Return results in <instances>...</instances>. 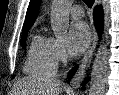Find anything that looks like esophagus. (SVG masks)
<instances>
[{
  "label": "esophagus",
  "mask_w": 119,
  "mask_h": 95,
  "mask_svg": "<svg viewBox=\"0 0 119 95\" xmlns=\"http://www.w3.org/2000/svg\"><path fill=\"white\" fill-rule=\"evenodd\" d=\"M99 0H95V5H98L99 4ZM97 39H98V35H97V32L95 29H93V32H92V38H91V41H90V44H89V47L81 61V64L79 66V69L77 71V73L74 75L70 85L73 87V88H78L84 78V75H85V72H86V68L88 66V64L90 63L91 61V58H92V55H93V52L95 50V47L97 45Z\"/></svg>",
  "instance_id": "obj_1"
}]
</instances>
